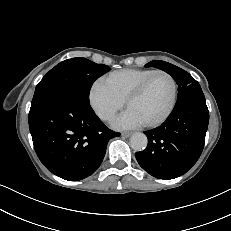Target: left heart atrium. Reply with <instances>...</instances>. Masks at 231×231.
Wrapping results in <instances>:
<instances>
[{
  "label": "left heart atrium",
  "instance_id": "obj_1",
  "mask_svg": "<svg viewBox=\"0 0 231 231\" xmlns=\"http://www.w3.org/2000/svg\"><path fill=\"white\" fill-rule=\"evenodd\" d=\"M144 122L133 111L127 109L113 123L117 129H133L143 125Z\"/></svg>",
  "mask_w": 231,
  "mask_h": 231
}]
</instances>
